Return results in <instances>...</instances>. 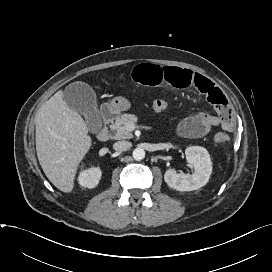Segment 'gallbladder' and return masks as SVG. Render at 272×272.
<instances>
[{"instance_id":"1","label":"gallbladder","mask_w":272,"mask_h":272,"mask_svg":"<svg viewBox=\"0 0 272 272\" xmlns=\"http://www.w3.org/2000/svg\"><path fill=\"white\" fill-rule=\"evenodd\" d=\"M63 98L66 104L74 111L85 117L89 130L97 133L102 127V120L97 106L96 94L92 87L84 82L69 84Z\"/></svg>"}]
</instances>
